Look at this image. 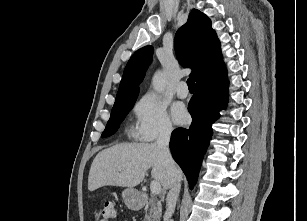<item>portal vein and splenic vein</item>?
Wrapping results in <instances>:
<instances>
[{"label": "portal vein and splenic vein", "mask_w": 307, "mask_h": 221, "mask_svg": "<svg viewBox=\"0 0 307 221\" xmlns=\"http://www.w3.org/2000/svg\"><path fill=\"white\" fill-rule=\"evenodd\" d=\"M150 189L152 194H159L161 192V184L158 181H151Z\"/></svg>", "instance_id": "portal-vein-and-splenic-vein-1"}]
</instances>
